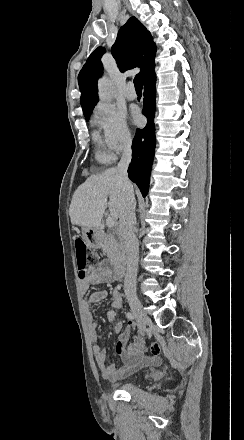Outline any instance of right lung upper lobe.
<instances>
[{"mask_svg": "<svg viewBox=\"0 0 244 440\" xmlns=\"http://www.w3.org/2000/svg\"><path fill=\"white\" fill-rule=\"evenodd\" d=\"M102 47H98L87 59L78 75L81 91V106L84 112L92 111L98 102L97 81L102 74ZM156 46L150 32L136 18L131 17L118 32L111 54L118 63L120 71L141 67L138 74L143 79L154 70Z\"/></svg>", "mask_w": 244, "mask_h": 440, "instance_id": "right-lung-upper-lobe-1", "label": "right lung upper lobe"}]
</instances>
